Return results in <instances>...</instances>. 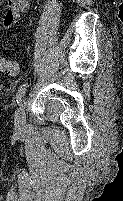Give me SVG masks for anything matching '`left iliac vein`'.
Listing matches in <instances>:
<instances>
[{"instance_id": "left-iliac-vein-1", "label": "left iliac vein", "mask_w": 123, "mask_h": 201, "mask_svg": "<svg viewBox=\"0 0 123 201\" xmlns=\"http://www.w3.org/2000/svg\"><path fill=\"white\" fill-rule=\"evenodd\" d=\"M26 105H27V101L26 99H24L17 112H16V115H15V120H14V125H15V129L17 131H22L25 127V118H26V114H25V111H26Z\"/></svg>"}]
</instances>
